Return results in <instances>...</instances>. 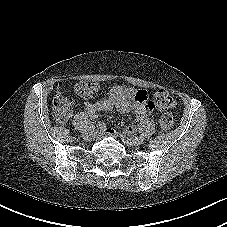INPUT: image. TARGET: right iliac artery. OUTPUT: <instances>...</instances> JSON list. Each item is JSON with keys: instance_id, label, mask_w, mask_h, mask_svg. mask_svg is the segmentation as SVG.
<instances>
[{"instance_id": "82829eb1", "label": "right iliac artery", "mask_w": 227, "mask_h": 227, "mask_svg": "<svg viewBox=\"0 0 227 227\" xmlns=\"http://www.w3.org/2000/svg\"><path fill=\"white\" fill-rule=\"evenodd\" d=\"M101 122L100 118L96 119V122L93 124V129H98L99 128V123ZM89 129V128H88Z\"/></svg>"}]
</instances>
